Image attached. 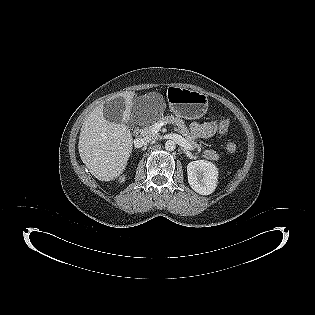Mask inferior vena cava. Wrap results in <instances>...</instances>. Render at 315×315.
<instances>
[{
    "mask_svg": "<svg viewBox=\"0 0 315 315\" xmlns=\"http://www.w3.org/2000/svg\"><path fill=\"white\" fill-rule=\"evenodd\" d=\"M158 138L157 137H152V136H144L143 138H139L137 141H136V145L138 147H141V146H144V145H147L151 142H155Z\"/></svg>",
    "mask_w": 315,
    "mask_h": 315,
    "instance_id": "obj_1",
    "label": "inferior vena cava"
}]
</instances>
